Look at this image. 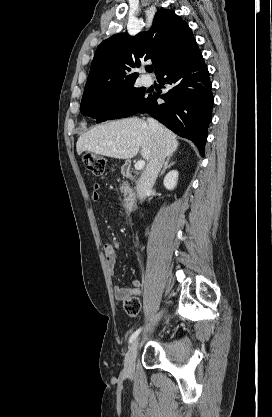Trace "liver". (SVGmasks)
Returning <instances> with one entry per match:
<instances>
[{
	"label": "liver",
	"mask_w": 272,
	"mask_h": 417,
	"mask_svg": "<svg viewBox=\"0 0 272 417\" xmlns=\"http://www.w3.org/2000/svg\"><path fill=\"white\" fill-rule=\"evenodd\" d=\"M165 156L170 157L179 143L176 135L162 127ZM141 148L142 157L149 161L153 148L152 132L146 121L139 118H127L96 125L82 134L76 144L78 155L84 151L113 157L130 159Z\"/></svg>",
	"instance_id": "obj_1"
}]
</instances>
